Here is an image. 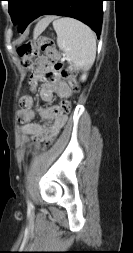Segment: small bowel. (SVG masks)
Returning <instances> with one entry per match:
<instances>
[{"instance_id":"c3829d8e","label":"small bowel","mask_w":133,"mask_h":253,"mask_svg":"<svg viewBox=\"0 0 133 253\" xmlns=\"http://www.w3.org/2000/svg\"><path fill=\"white\" fill-rule=\"evenodd\" d=\"M50 61H54V56H43L37 59L29 82L31 90L34 91L41 83L39 93L43 101L49 102L53 100L55 95L67 99L72 95V89L55 73L54 65ZM56 106L36 108L35 101L31 96H23L20 99V109L17 112L22 134L36 142L53 139L67 121L66 114H54ZM37 114L44 120L43 123L33 121Z\"/></svg>"}]
</instances>
